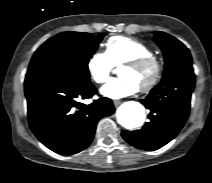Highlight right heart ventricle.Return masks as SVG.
<instances>
[{
	"mask_svg": "<svg viewBox=\"0 0 212 183\" xmlns=\"http://www.w3.org/2000/svg\"><path fill=\"white\" fill-rule=\"evenodd\" d=\"M114 67L143 56H154V51L140 40L116 36L106 42V51Z\"/></svg>",
	"mask_w": 212,
	"mask_h": 183,
	"instance_id": "1",
	"label": "right heart ventricle"
}]
</instances>
